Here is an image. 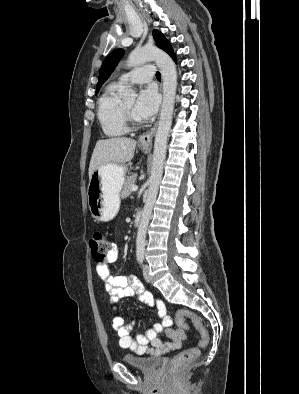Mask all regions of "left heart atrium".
I'll list each match as a JSON object with an SVG mask.
<instances>
[{
	"label": "left heart atrium",
	"mask_w": 299,
	"mask_h": 394,
	"mask_svg": "<svg viewBox=\"0 0 299 394\" xmlns=\"http://www.w3.org/2000/svg\"><path fill=\"white\" fill-rule=\"evenodd\" d=\"M159 97L152 87L142 90L135 102L133 113L134 116L141 120L151 118L158 109Z\"/></svg>",
	"instance_id": "left-heart-atrium-1"
}]
</instances>
